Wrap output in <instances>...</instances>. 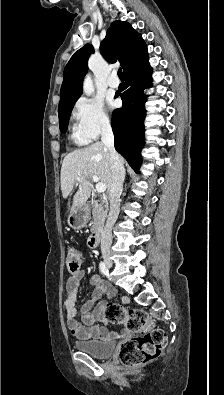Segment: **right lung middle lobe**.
Masks as SVG:
<instances>
[{"label": "right lung middle lobe", "instance_id": "1", "mask_svg": "<svg viewBox=\"0 0 224 395\" xmlns=\"http://www.w3.org/2000/svg\"><path fill=\"white\" fill-rule=\"evenodd\" d=\"M79 97L75 98L72 100L67 106L58 109V114H59V127L62 133H65L67 130V125L69 121V117L71 114V111L73 109V106L75 102L77 101Z\"/></svg>", "mask_w": 224, "mask_h": 395}]
</instances>
